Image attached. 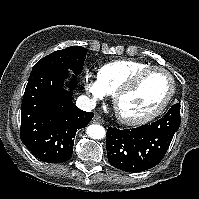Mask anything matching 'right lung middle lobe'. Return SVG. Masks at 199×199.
<instances>
[{
    "label": "right lung middle lobe",
    "mask_w": 199,
    "mask_h": 199,
    "mask_svg": "<svg viewBox=\"0 0 199 199\" xmlns=\"http://www.w3.org/2000/svg\"><path fill=\"white\" fill-rule=\"evenodd\" d=\"M86 49L80 46H71L63 50L55 51L39 60L32 71L46 67H65L79 75L82 72Z\"/></svg>",
    "instance_id": "1"
}]
</instances>
